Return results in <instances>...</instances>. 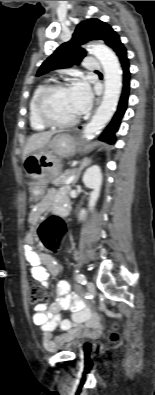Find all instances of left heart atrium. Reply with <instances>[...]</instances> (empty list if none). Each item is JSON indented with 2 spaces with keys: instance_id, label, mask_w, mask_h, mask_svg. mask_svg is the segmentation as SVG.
Masks as SVG:
<instances>
[{
  "instance_id": "obj_1",
  "label": "left heart atrium",
  "mask_w": 155,
  "mask_h": 395,
  "mask_svg": "<svg viewBox=\"0 0 155 395\" xmlns=\"http://www.w3.org/2000/svg\"><path fill=\"white\" fill-rule=\"evenodd\" d=\"M70 92L77 115L86 112L92 98L89 85L83 80H78L72 85Z\"/></svg>"
}]
</instances>
